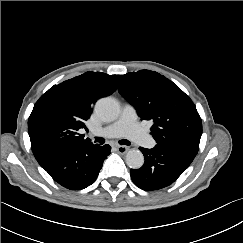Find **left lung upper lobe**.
Instances as JSON below:
<instances>
[{
    "label": "left lung upper lobe",
    "mask_w": 243,
    "mask_h": 243,
    "mask_svg": "<svg viewBox=\"0 0 243 243\" xmlns=\"http://www.w3.org/2000/svg\"><path fill=\"white\" fill-rule=\"evenodd\" d=\"M120 93L142 120L153 122L157 144L200 143L202 122L192 100L176 84L150 70L121 76Z\"/></svg>",
    "instance_id": "1"
}]
</instances>
